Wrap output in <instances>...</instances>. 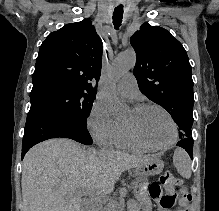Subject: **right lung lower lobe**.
I'll list each match as a JSON object with an SVG mask.
<instances>
[{
	"label": "right lung lower lobe",
	"instance_id": "right-lung-lower-lobe-1",
	"mask_svg": "<svg viewBox=\"0 0 219 211\" xmlns=\"http://www.w3.org/2000/svg\"><path fill=\"white\" fill-rule=\"evenodd\" d=\"M86 127L87 124H82L53 107L31 106L24 130L22 159L32 146L50 138H70L91 145L93 140Z\"/></svg>",
	"mask_w": 219,
	"mask_h": 211
}]
</instances>
